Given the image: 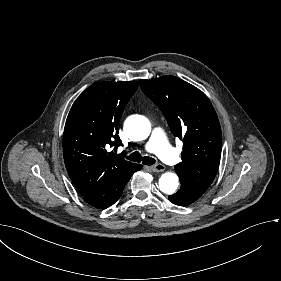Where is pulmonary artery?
<instances>
[{"label": "pulmonary artery", "mask_w": 281, "mask_h": 281, "mask_svg": "<svg viewBox=\"0 0 281 281\" xmlns=\"http://www.w3.org/2000/svg\"><path fill=\"white\" fill-rule=\"evenodd\" d=\"M151 141L143 145V150L146 153H158V156L168 165H175L178 162V154L173 151L170 143L164 136V126L161 123H156L153 126V133L151 134Z\"/></svg>", "instance_id": "obj_1"}]
</instances>
